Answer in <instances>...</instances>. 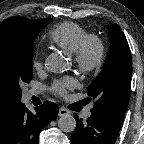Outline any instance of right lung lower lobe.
<instances>
[{
    "label": "right lung lower lobe",
    "mask_w": 144,
    "mask_h": 144,
    "mask_svg": "<svg viewBox=\"0 0 144 144\" xmlns=\"http://www.w3.org/2000/svg\"><path fill=\"white\" fill-rule=\"evenodd\" d=\"M35 111L20 103L0 125V144H38L40 131L57 118L59 110L55 103L46 101Z\"/></svg>",
    "instance_id": "1"
}]
</instances>
